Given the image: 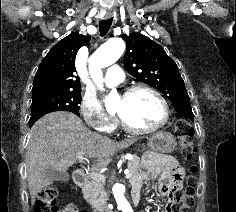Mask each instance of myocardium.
I'll list each match as a JSON object with an SVG mask.
<instances>
[{
    "instance_id": "f54148a6",
    "label": "myocardium",
    "mask_w": 236,
    "mask_h": 212,
    "mask_svg": "<svg viewBox=\"0 0 236 212\" xmlns=\"http://www.w3.org/2000/svg\"><path fill=\"white\" fill-rule=\"evenodd\" d=\"M140 90H144L147 92H150L151 94H153L161 103L162 107H163V118L162 120L156 124L153 127L150 128H136L132 125H130L121 115L117 114V120L119 122V124L121 125V127L132 134H150L153 132L158 131L159 129H161L163 126L166 125V123L169 121L170 118V108H169V104L167 102V100L164 98V96L155 88L147 85V84H135L132 86H129L125 91L123 96H129L137 91Z\"/></svg>"
}]
</instances>
